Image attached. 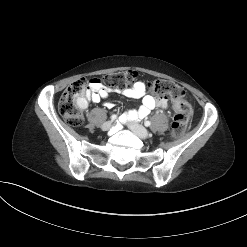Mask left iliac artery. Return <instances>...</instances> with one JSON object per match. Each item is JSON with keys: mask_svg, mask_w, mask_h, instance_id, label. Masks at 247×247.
<instances>
[{"mask_svg": "<svg viewBox=\"0 0 247 247\" xmlns=\"http://www.w3.org/2000/svg\"><path fill=\"white\" fill-rule=\"evenodd\" d=\"M144 124H145L146 127H148V126L151 125V122L150 121H145Z\"/></svg>", "mask_w": 247, "mask_h": 247, "instance_id": "left-iliac-artery-1", "label": "left iliac artery"}]
</instances>
